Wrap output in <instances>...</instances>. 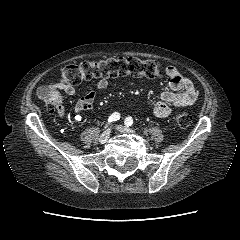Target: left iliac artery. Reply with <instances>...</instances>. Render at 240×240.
<instances>
[{
  "label": "left iliac artery",
  "mask_w": 240,
  "mask_h": 240,
  "mask_svg": "<svg viewBox=\"0 0 240 240\" xmlns=\"http://www.w3.org/2000/svg\"><path fill=\"white\" fill-rule=\"evenodd\" d=\"M124 124L127 126V127H129V126H131L132 124H133V119H132V117H126V119H125V121H124Z\"/></svg>",
  "instance_id": "obj_1"
}]
</instances>
